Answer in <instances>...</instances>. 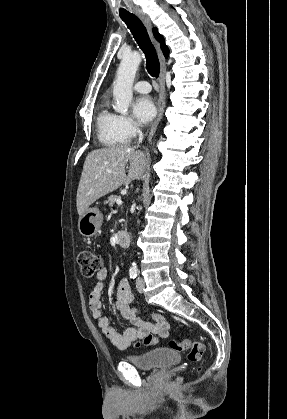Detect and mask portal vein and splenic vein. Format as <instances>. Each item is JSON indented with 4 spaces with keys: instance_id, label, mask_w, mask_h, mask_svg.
Wrapping results in <instances>:
<instances>
[{
    "instance_id": "1",
    "label": "portal vein and splenic vein",
    "mask_w": 287,
    "mask_h": 419,
    "mask_svg": "<svg viewBox=\"0 0 287 419\" xmlns=\"http://www.w3.org/2000/svg\"><path fill=\"white\" fill-rule=\"evenodd\" d=\"M116 203H117L118 206H120L122 204V200L119 198V199L116 200Z\"/></svg>"
}]
</instances>
